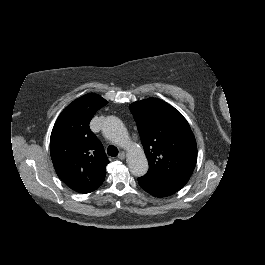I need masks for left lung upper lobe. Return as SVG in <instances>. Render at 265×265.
<instances>
[{
  "instance_id": "1",
  "label": "left lung upper lobe",
  "mask_w": 265,
  "mask_h": 265,
  "mask_svg": "<svg viewBox=\"0 0 265 265\" xmlns=\"http://www.w3.org/2000/svg\"><path fill=\"white\" fill-rule=\"evenodd\" d=\"M129 108L149 163L144 177L162 184L184 186L197 161L196 140L186 119L157 98L134 102Z\"/></svg>"
}]
</instances>
